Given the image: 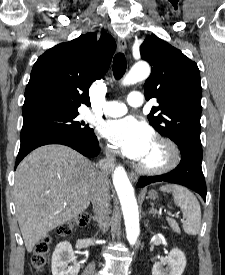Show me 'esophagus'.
Segmentation results:
<instances>
[{"mask_svg": "<svg viewBox=\"0 0 225 275\" xmlns=\"http://www.w3.org/2000/svg\"><path fill=\"white\" fill-rule=\"evenodd\" d=\"M117 45L120 51L124 52L127 49V43L124 38H118ZM129 178L132 182L137 181L138 176L134 172L129 173Z\"/></svg>", "mask_w": 225, "mask_h": 275, "instance_id": "esophagus-1", "label": "esophagus"}]
</instances>
